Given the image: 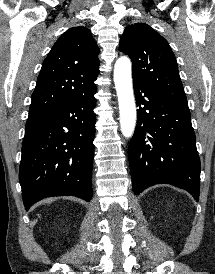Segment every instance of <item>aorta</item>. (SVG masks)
Returning a JSON list of instances; mask_svg holds the SVG:
<instances>
[{
  "instance_id": "1",
  "label": "aorta",
  "mask_w": 215,
  "mask_h": 274,
  "mask_svg": "<svg viewBox=\"0 0 215 274\" xmlns=\"http://www.w3.org/2000/svg\"><path fill=\"white\" fill-rule=\"evenodd\" d=\"M114 82L119 102L121 131L126 138H129L134 132L136 123V108L129 58L121 57L116 61Z\"/></svg>"
}]
</instances>
